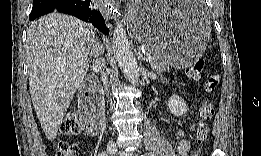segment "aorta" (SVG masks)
<instances>
[{"mask_svg":"<svg viewBox=\"0 0 261 156\" xmlns=\"http://www.w3.org/2000/svg\"><path fill=\"white\" fill-rule=\"evenodd\" d=\"M113 45L116 59L125 77L133 84L139 81V66L133 56L125 27L118 22L114 28Z\"/></svg>","mask_w":261,"mask_h":156,"instance_id":"obj_1","label":"aorta"}]
</instances>
